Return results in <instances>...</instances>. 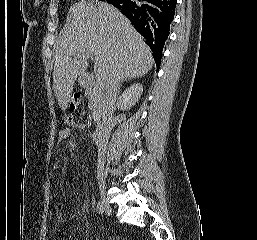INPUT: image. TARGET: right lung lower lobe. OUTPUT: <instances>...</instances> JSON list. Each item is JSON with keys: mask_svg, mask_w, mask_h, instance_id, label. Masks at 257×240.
Here are the masks:
<instances>
[{"mask_svg": "<svg viewBox=\"0 0 257 240\" xmlns=\"http://www.w3.org/2000/svg\"><path fill=\"white\" fill-rule=\"evenodd\" d=\"M109 3L119 9L146 39L159 69L177 0H113Z\"/></svg>", "mask_w": 257, "mask_h": 240, "instance_id": "98d812e1", "label": "right lung lower lobe"}]
</instances>
